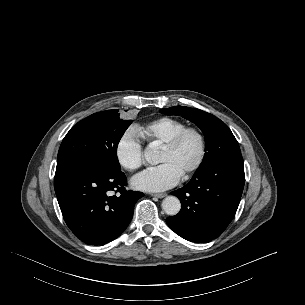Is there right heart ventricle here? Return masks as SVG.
I'll return each mask as SVG.
<instances>
[{
  "mask_svg": "<svg viewBox=\"0 0 305 305\" xmlns=\"http://www.w3.org/2000/svg\"><path fill=\"white\" fill-rule=\"evenodd\" d=\"M186 127L187 124L181 120L170 117H160L138 126L137 133L147 141L150 146L162 147L176 133Z\"/></svg>",
  "mask_w": 305,
  "mask_h": 305,
  "instance_id": "e07e8e85",
  "label": "right heart ventricle"
}]
</instances>
